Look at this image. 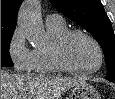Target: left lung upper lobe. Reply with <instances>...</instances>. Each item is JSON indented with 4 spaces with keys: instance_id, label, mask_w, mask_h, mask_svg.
Here are the masks:
<instances>
[{
    "instance_id": "obj_1",
    "label": "left lung upper lobe",
    "mask_w": 115,
    "mask_h": 99,
    "mask_svg": "<svg viewBox=\"0 0 115 99\" xmlns=\"http://www.w3.org/2000/svg\"><path fill=\"white\" fill-rule=\"evenodd\" d=\"M50 2L95 37L105 54L107 79L115 82V35L101 1L50 0Z\"/></svg>"
}]
</instances>
